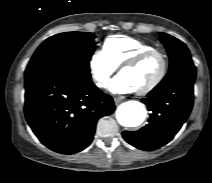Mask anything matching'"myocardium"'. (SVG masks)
Returning a JSON list of instances; mask_svg holds the SVG:
<instances>
[{
  "instance_id": "obj_1",
  "label": "myocardium",
  "mask_w": 212,
  "mask_h": 183,
  "mask_svg": "<svg viewBox=\"0 0 212 183\" xmlns=\"http://www.w3.org/2000/svg\"><path fill=\"white\" fill-rule=\"evenodd\" d=\"M154 55L159 56L161 59L160 72L157 75V77L149 85H147L146 87H144L142 89L136 90V93L138 95H145V94L152 92L163 81V79L166 76L167 70H168L167 55L159 49H156V48L150 49V50L144 51V52L134 56L133 58L127 60L120 66L119 73L121 74L124 70L136 67L139 64H141L143 61H145L146 59H148L149 57L154 56Z\"/></svg>"
}]
</instances>
